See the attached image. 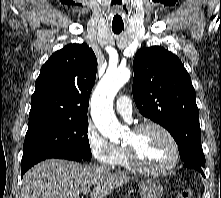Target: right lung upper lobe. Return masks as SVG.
<instances>
[{
  "label": "right lung upper lobe",
  "mask_w": 221,
  "mask_h": 198,
  "mask_svg": "<svg viewBox=\"0 0 221 198\" xmlns=\"http://www.w3.org/2000/svg\"><path fill=\"white\" fill-rule=\"evenodd\" d=\"M97 59L86 44H69L43 65L31 98L29 122L87 118Z\"/></svg>",
  "instance_id": "1"
}]
</instances>
